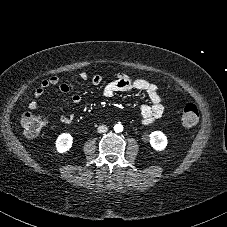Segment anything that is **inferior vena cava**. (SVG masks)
<instances>
[{"label":"inferior vena cava","instance_id":"inferior-vena-cava-1","mask_svg":"<svg viewBox=\"0 0 227 227\" xmlns=\"http://www.w3.org/2000/svg\"><path fill=\"white\" fill-rule=\"evenodd\" d=\"M97 131L99 133H105L108 131V127L106 125H100V126H98Z\"/></svg>","mask_w":227,"mask_h":227}]
</instances>
